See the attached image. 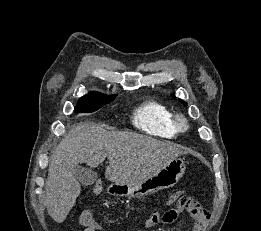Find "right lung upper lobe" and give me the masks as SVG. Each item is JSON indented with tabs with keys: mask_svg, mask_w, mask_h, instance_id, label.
Instances as JSON below:
<instances>
[{
	"mask_svg": "<svg viewBox=\"0 0 261 231\" xmlns=\"http://www.w3.org/2000/svg\"><path fill=\"white\" fill-rule=\"evenodd\" d=\"M96 95H104V94H101V93H99V92H90V93H88V94L85 95V96H96Z\"/></svg>",
	"mask_w": 261,
	"mask_h": 231,
	"instance_id": "cb5924a9",
	"label": "right lung upper lobe"
}]
</instances>
